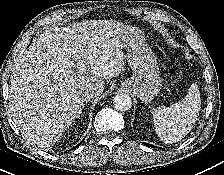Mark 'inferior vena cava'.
Returning <instances> with one entry per match:
<instances>
[{"label": "inferior vena cava", "instance_id": "obj_1", "mask_svg": "<svg viewBox=\"0 0 224 175\" xmlns=\"http://www.w3.org/2000/svg\"><path fill=\"white\" fill-rule=\"evenodd\" d=\"M98 95V92L95 91L94 89L91 90H86L82 93L81 99L83 102L89 101L91 98L96 97Z\"/></svg>", "mask_w": 224, "mask_h": 175}]
</instances>
